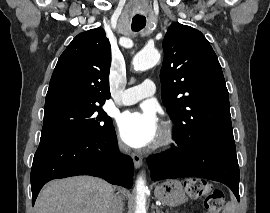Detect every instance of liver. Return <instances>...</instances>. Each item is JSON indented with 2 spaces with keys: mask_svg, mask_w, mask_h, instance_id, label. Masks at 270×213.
Wrapping results in <instances>:
<instances>
[{
  "mask_svg": "<svg viewBox=\"0 0 270 213\" xmlns=\"http://www.w3.org/2000/svg\"><path fill=\"white\" fill-rule=\"evenodd\" d=\"M113 187L105 180L78 176L49 182L40 192L36 213H109Z\"/></svg>",
  "mask_w": 270,
  "mask_h": 213,
  "instance_id": "6515ba94",
  "label": "liver"
}]
</instances>
